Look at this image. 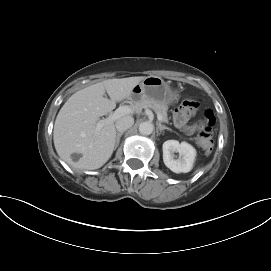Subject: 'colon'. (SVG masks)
I'll use <instances>...</instances> for the list:
<instances>
[{
    "label": "colon",
    "mask_w": 271,
    "mask_h": 271,
    "mask_svg": "<svg viewBox=\"0 0 271 271\" xmlns=\"http://www.w3.org/2000/svg\"><path fill=\"white\" fill-rule=\"evenodd\" d=\"M199 103L196 99L188 98L176 109L174 113V121L177 126L181 127L187 133L197 131V144L205 152L210 153L213 148V126L215 124V116L211 110H207L204 119L199 126L189 123L191 117L198 110Z\"/></svg>",
    "instance_id": "obj_1"
}]
</instances>
